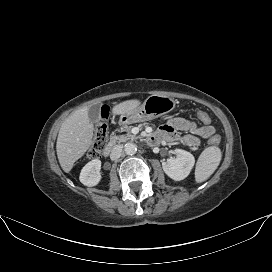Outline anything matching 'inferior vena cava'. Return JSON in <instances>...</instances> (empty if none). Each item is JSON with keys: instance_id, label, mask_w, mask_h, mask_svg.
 Here are the masks:
<instances>
[{"instance_id": "602c4592", "label": "inferior vena cava", "mask_w": 272, "mask_h": 272, "mask_svg": "<svg viewBox=\"0 0 272 272\" xmlns=\"http://www.w3.org/2000/svg\"><path fill=\"white\" fill-rule=\"evenodd\" d=\"M123 146L122 145H116L113 147L111 154H110V159L111 160H117L120 158L122 154Z\"/></svg>"}]
</instances>
